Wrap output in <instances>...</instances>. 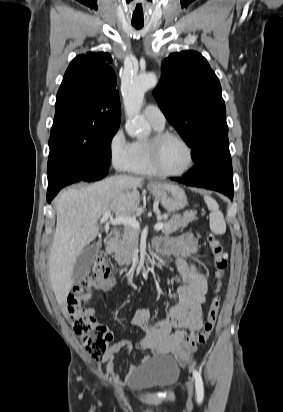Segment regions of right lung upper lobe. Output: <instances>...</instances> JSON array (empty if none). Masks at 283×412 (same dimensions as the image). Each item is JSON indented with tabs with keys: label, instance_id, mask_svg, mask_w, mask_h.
<instances>
[{
	"label": "right lung upper lobe",
	"instance_id": "cb5924a9",
	"mask_svg": "<svg viewBox=\"0 0 283 412\" xmlns=\"http://www.w3.org/2000/svg\"><path fill=\"white\" fill-rule=\"evenodd\" d=\"M110 62L104 52L76 56L57 93L54 118L81 116L100 129H118L121 106Z\"/></svg>",
	"mask_w": 283,
	"mask_h": 412
}]
</instances>
